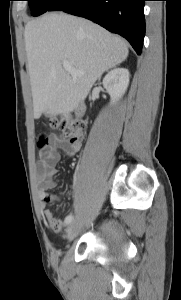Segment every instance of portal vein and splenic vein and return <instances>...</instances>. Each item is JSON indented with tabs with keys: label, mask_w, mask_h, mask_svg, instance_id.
Listing matches in <instances>:
<instances>
[{
	"label": "portal vein and splenic vein",
	"mask_w": 181,
	"mask_h": 300,
	"mask_svg": "<svg viewBox=\"0 0 181 300\" xmlns=\"http://www.w3.org/2000/svg\"><path fill=\"white\" fill-rule=\"evenodd\" d=\"M63 67H64V69H65L69 74H71L73 77H76V76L82 74V72L77 71L76 69H74V68L71 66V64H70L69 62H67V61H64V62H63Z\"/></svg>",
	"instance_id": "obj_1"
}]
</instances>
